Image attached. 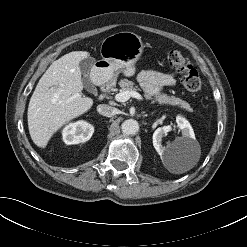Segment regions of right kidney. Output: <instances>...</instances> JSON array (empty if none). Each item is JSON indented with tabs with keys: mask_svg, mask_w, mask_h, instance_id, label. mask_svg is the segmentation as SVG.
Wrapping results in <instances>:
<instances>
[{
	"mask_svg": "<svg viewBox=\"0 0 247 247\" xmlns=\"http://www.w3.org/2000/svg\"><path fill=\"white\" fill-rule=\"evenodd\" d=\"M94 127L86 121L69 123L62 130L63 141L67 145L88 141L93 135Z\"/></svg>",
	"mask_w": 247,
	"mask_h": 247,
	"instance_id": "1",
	"label": "right kidney"
}]
</instances>
